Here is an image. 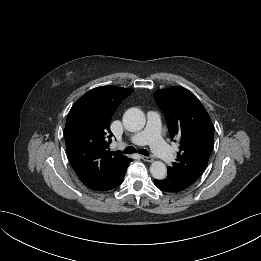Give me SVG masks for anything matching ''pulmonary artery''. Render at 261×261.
<instances>
[{
    "label": "pulmonary artery",
    "mask_w": 261,
    "mask_h": 261,
    "mask_svg": "<svg viewBox=\"0 0 261 261\" xmlns=\"http://www.w3.org/2000/svg\"><path fill=\"white\" fill-rule=\"evenodd\" d=\"M136 145L150 144L154 153L164 162L170 163L173 154L161 137V121L157 112L150 111L147 116V125L144 130L130 138Z\"/></svg>",
    "instance_id": "1"
}]
</instances>
